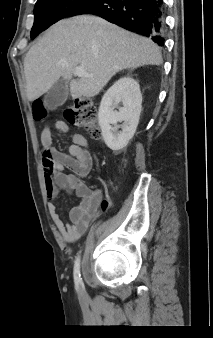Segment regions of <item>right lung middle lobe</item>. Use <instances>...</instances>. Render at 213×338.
Returning <instances> with one entry per match:
<instances>
[{
  "mask_svg": "<svg viewBox=\"0 0 213 338\" xmlns=\"http://www.w3.org/2000/svg\"><path fill=\"white\" fill-rule=\"evenodd\" d=\"M92 0H38L34 8L31 39L57 21L71 16L75 10Z\"/></svg>",
  "mask_w": 213,
  "mask_h": 338,
  "instance_id": "dd1d6c3e",
  "label": "right lung middle lobe"
}]
</instances>
